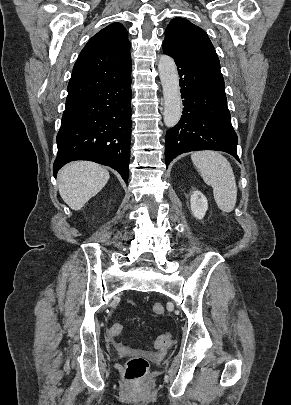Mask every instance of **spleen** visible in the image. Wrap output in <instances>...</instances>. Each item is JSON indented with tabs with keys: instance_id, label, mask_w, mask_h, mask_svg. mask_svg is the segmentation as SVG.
Listing matches in <instances>:
<instances>
[{
	"instance_id": "obj_1",
	"label": "spleen",
	"mask_w": 291,
	"mask_h": 405,
	"mask_svg": "<svg viewBox=\"0 0 291 405\" xmlns=\"http://www.w3.org/2000/svg\"><path fill=\"white\" fill-rule=\"evenodd\" d=\"M191 159L205 183L212 186L218 208L231 212L236 204L237 186L229 161L213 151L195 152Z\"/></svg>"
}]
</instances>
